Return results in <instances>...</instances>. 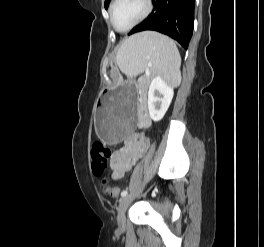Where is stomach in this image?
<instances>
[{
  "instance_id": "1",
  "label": "stomach",
  "mask_w": 264,
  "mask_h": 247,
  "mask_svg": "<svg viewBox=\"0 0 264 247\" xmlns=\"http://www.w3.org/2000/svg\"><path fill=\"white\" fill-rule=\"evenodd\" d=\"M115 68H120V63H115ZM132 82H119L115 90L112 86H104V90L99 91L96 127L99 136L107 143L126 141V136L137 131L138 108L134 103L136 94Z\"/></svg>"
}]
</instances>
